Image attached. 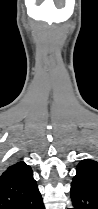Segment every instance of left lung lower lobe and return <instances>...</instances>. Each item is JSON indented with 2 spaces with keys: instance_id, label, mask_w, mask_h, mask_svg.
Masks as SVG:
<instances>
[{
  "instance_id": "obj_1",
  "label": "left lung lower lobe",
  "mask_w": 98,
  "mask_h": 209,
  "mask_svg": "<svg viewBox=\"0 0 98 209\" xmlns=\"http://www.w3.org/2000/svg\"><path fill=\"white\" fill-rule=\"evenodd\" d=\"M73 209H98V193L81 185L71 184Z\"/></svg>"
}]
</instances>
